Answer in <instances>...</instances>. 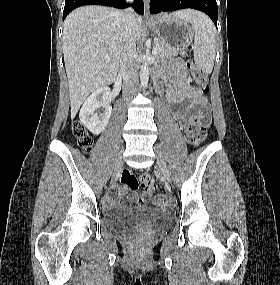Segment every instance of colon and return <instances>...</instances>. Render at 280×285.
Masks as SVG:
<instances>
[{"mask_svg": "<svg viewBox=\"0 0 280 285\" xmlns=\"http://www.w3.org/2000/svg\"><path fill=\"white\" fill-rule=\"evenodd\" d=\"M187 69L190 72L194 83L199 87L203 94L208 92L207 75L198 69L192 61L186 62ZM207 120L198 119L194 116L190 117L185 126V134L189 144L198 146L203 142L207 135ZM73 133L77 138L78 145L84 151H89L92 147L93 140L88 134L85 127L76 122L73 124ZM121 181L129 185L133 189L141 187L145 192H150L155 189V182L149 175H142L139 179L128 170L124 171L121 176ZM153 202L157 206H165L169 203V196L165 193L158 194L154 197Z\"/></svg>", "mask_w": 280, "mask_h": 285, "instance_id": "5ec220e1", "label": "colon"}]
</instances>
